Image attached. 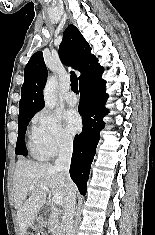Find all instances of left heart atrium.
Listing matches in <instances>:
<instances>
[{"mask_svg":"<svg viewBox=\"0 0 155 235\" xmlns=\"http://www.w3.org/2000/svg\"><path fill=\"white\" fill-rule=\"evenodd\" d=\"M66 127L68 131L72 134L80 131L82 127L81 117L80 115L73 110H69L64 115Z\"/></svg>","mask_w":155,"mask_h":235,"instance_id":"left-heart-atrium-1","label":"left heart atrium"}]
</instances>
